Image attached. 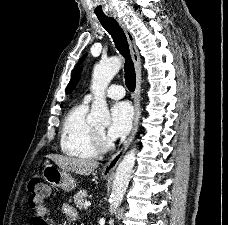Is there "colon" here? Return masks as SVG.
<instances>
[{"mask_svg": "<svg viewBox=\"0 0 228 225\" xmlns=\"http://www.w3.org/2000/svg\"><path fill=\"white\" fill-rule=\"evenodd\" d=\"M27 201L30 208L42 207L49 195L47 185L39 178H32L27 186Z\"/></svg>", "mask_w": 228, "mask_h": 225, "instance_id": "obj_1", "label": "colon"}]
</instances>
